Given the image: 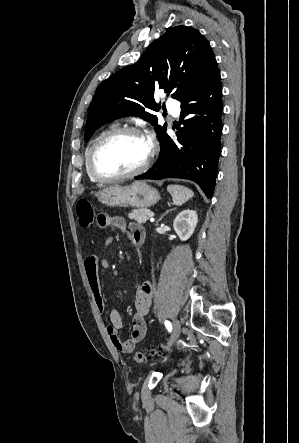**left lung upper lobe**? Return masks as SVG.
I'll return each instance as SVG.
<instances>
[{
	"label": "left lung upper lobe",
	"instance_id": "5c2ea615",
	"mask_svg": "<svg viewBox=\"0 0 299 443\" xmlns=\"http://www.w3.org/2000/svg\"><path fill=\"white\" fill-rule=\"evenodd\" d=\"M214 61L209 42L196 29L170 28L135 64L117 71L98 86L85 126V140L99 127L123 116H140L156 125L158 119L151 114L160 108L154 100L155 91H173L172 97L181 101ZM166 126H155L160 140Z\"/></svg>",
	"mask_w": 299,
	"mask_h": 443
}]
</instances>
